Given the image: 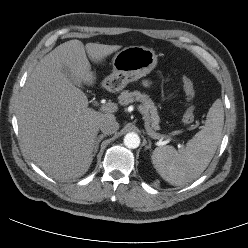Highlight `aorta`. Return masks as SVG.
I'll return each mask as SVG.
<instances>
[{"label": "aorta", "mask_w": 248, "mask_h": 248, "mask_svg": "<svg viewBox=\"0 0 248 248\" xmlns=\"http://www.w3.org/2000/svg\"><path fill=\"white\" fill-rule=\"evenodd\" d=\"M124 145L127 148L135 149L140 145V137L134 132L127 133L124 137Z\"/></svg>", "instance_id": "1"}]
</instances>
